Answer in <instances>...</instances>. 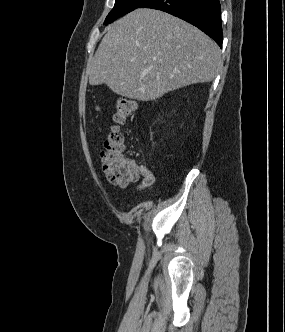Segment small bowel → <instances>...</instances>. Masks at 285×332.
Returning a JSON list of instances; mask_svg holds the SVG:
<instances>
[{"mask_svg":"<svg viewBox=\"0 0 285 332\" xmlns=\"http://www.w3.org/2000/svg\"><path fill=\"white\" fill-rule=\"evenodd\" d=\"M133 165L138 175H140L142 178L141 182L137 184L135 188L137 190H143L152 187L155 183V177L152 171L148 167L142 164L133 162Z\"/></svg>","mask_w":285,"mask_h":332,"instance_id":"obj_1","label":"small bowel"}]
</instances>
